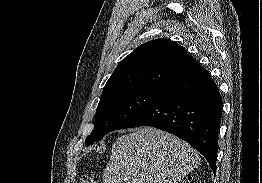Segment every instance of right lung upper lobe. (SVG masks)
<instances>
[{
    "instance_id": "cb5924a9",
    "label": "right lung upper lobe",
    "mask_w": 262,
    "mask_h": 183,
    "mask_svg": "<svg viewBox=\"0 0 262 183\" xmlns=\"http://www.w3.org/2000/svg\"><path fill=\"white\" fill-rule=\"evenodd\" d=\"M199 67L177 43L167 39L152 40L136 48L119 63L102 95L133 89L159 90Z\"/></svg>"
}]
</instances>
